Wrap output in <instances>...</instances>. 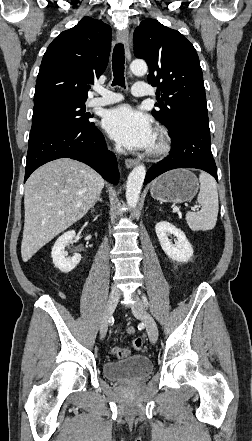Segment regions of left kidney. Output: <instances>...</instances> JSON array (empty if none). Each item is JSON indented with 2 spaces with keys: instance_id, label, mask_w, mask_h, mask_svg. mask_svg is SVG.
Wrapping results in <instances>:
<instances>
[{
  "instance_id": "left-kidney-1",
  "label": "left kidney",
  "mask_w": 252,
  "mask_h": 441,
  "mask_svg": "<svg viewBox=\"0 0 252 441\" xmlns=\"http://www.w3.org/2000/svg\"><path fill=\"white\" fill-rule=\"evenodd\" d=\"M155 231L163 251L169 258L178 262H188L193 256V248L185 234L174 225L161 221L156 224ZM170 234L177 238L174 244L168 238Z\"/></svg>"
}]
</instances>
